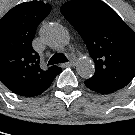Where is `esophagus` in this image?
Listing matches in <instances>:
<instances>
[{
    "label": "esophagus",
    "mask_w": 135,
    "mask_h": 135,
    "mask_svg": "<svg viewBox=\"0 0 135 135\" xmlns=\"http://www.w3.org/2000/svg\"><path fill=\"white\" fill-rule=\"evenodd\" d=\"M75 63H76V60L74 58H71L69 60V62L65 63L64 65L65 66H73V65H75Z\"/></svg>",
    "instance_id": "esophagus-1"
}]
</instances>
